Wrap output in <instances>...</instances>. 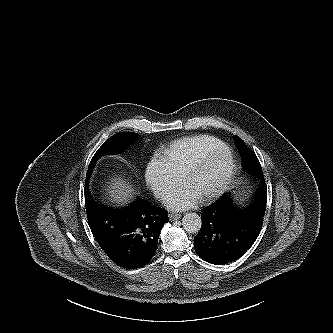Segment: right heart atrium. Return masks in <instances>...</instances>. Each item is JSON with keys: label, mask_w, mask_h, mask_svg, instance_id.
Masks as SVG:
<instances>
[{"label": "right heart atrium", "mask_w": 333, "mask_h": 333, "mask_svg": "<svg viewBox=\"0 0 333 333\" xmlns=\"http://www.w3.org/2000/svg\"><path fill=\"white\" fill-rule=\"evenodd\" d=\"M145 183L157 198H164L179 183L180 177L169 168L162 155H153L145 168Z\"/></svg>", "instance_id": "1"}]
</instances>
